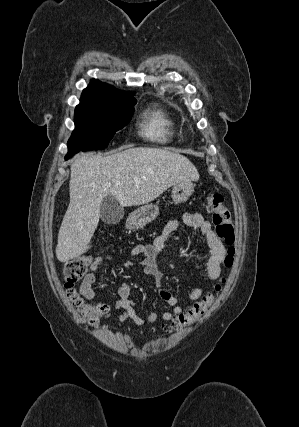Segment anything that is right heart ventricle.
<instances>
[{
    "label": "right heart ventricle",
    "mask_w": 299,
    "mask_h": 427,
    "mask_svg": "<svg viewBox=\"0 0 299 427\" xmlns=\"http://www.w3.org/2000/svg\"><path fill=\"white\" fill-rule=\"evenodd\" d=\"M139 128L143 139L158 145L172 143L178 133L174 117L159 104L144 109L140 115Z\"/></svg>",
    "instance_id": "obj_1"
}]
</instances>
